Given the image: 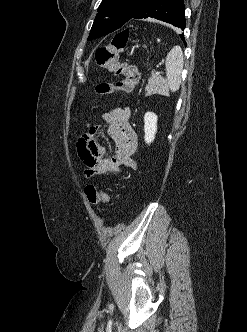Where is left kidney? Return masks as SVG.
Masks as SVG:
<instances>
[{
    "label": "left kidney",
    "instance_id": "left-kidney-1",
    "mask_svg": "<svg viewBox=\"0 0 247 332\" xmlns=\"http://www.w3.org/2000/svg\"><path fill=\"white\" fill-rule=\"evenodd\" d=\"M157 120V115L153 112H147L144 115V140L147 144H150L155 139Z\"/></svg>",
    "mask_w": 247,
    "mask_h": 332
}]
</instances>
